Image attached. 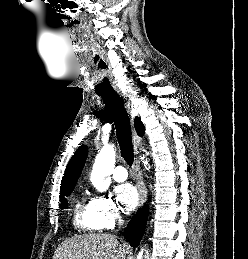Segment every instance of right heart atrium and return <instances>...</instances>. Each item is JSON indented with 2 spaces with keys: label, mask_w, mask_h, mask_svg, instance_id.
<instances>
[{
  "label": "right heart atrium",
  "mask_w": 248,
  "mask_h": 259,
  "mask_svg": "<svg viewBox=\"0 0 248 259\" xmlns=\"http://www.w3.org/2000/svg\"><path fill=\"white\" fill-rule=\"evenodd\" d=\"M99 229H109L121 220V212L110 196L99 195L91 200Z\"/></svg>",
  "instance_id": "obj_1"
}]
</instances>
